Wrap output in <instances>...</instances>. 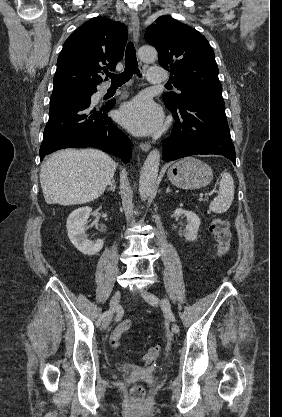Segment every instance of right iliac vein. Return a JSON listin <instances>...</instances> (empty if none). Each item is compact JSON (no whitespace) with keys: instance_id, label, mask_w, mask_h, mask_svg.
<instances>
[{"instance_id":"right-iliac-vein-1","label":"right iliac vein","mask_w":282,"mask_h":417,"mask_svg":"<svg viewBox=\"0 0 282 417\" xmlns=\"http://www.w3.org/2000/svg\"><path fill=\"white\" fill-rule=\"evenodd\" d=\"M120 298H121V293L120 292H116L113 297L111 298L110 301V314L108 316H106V318L103 320L102 323V328L106 329L110 322H111V318H112V314L114 313V311L116 310V308L119 305L120 302Z\"/></svg>"}]
</instances>
